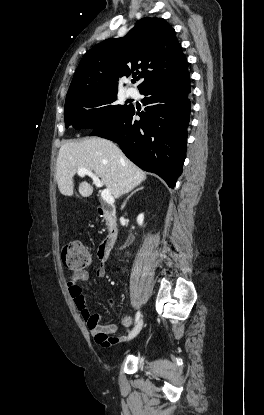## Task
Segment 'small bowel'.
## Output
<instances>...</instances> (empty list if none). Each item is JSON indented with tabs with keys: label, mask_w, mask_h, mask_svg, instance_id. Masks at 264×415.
<instances>
[{
	"label": "small bowel",
	"mask_w": 264,
	"mask_h": 415,
	"mask_svg": "<svg viewBox=\"0 0 264 415\" xmlns=\"http://www.w3.org/2000/svg\"><path fill=\"white\" fill-rule=\"evenodd\" d=\"M97 278H103L106 275L105 265L100 263L95 271ZM88 279V271L86 267L75 270L73 277L67 282L69 293L74 300L78 310L83 319L86 321L90 333L93 335L95 341L102 347H112L116 344H121L128 339V336H115L117 326L115 324H100L101 315L99 313H90L85 305L83 291L80 283ZM132 321L131 316H123L121 323L124 326H129Z\"/></svg>",
	"instance_id": "1"
}]
</instances>
